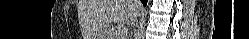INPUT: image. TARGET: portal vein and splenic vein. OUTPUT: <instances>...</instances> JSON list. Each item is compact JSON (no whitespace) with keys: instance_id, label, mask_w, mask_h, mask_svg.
<instances>
[{"instance_id":"obj_1","label":"portal vein and splenic vein","mask_w":249,"mask_h":39,"mask_svg":"<svg viewBox=\"0 0 249 39\" xmlns=\"http://www.w3.org/2000/svg\"><path fill=\"white\" fill-rule=\"evenodd\" d=\"M125 30L124 29H122L121 31H119L120 33H122V32H124Z\"/></svg>"}]
</instances>
